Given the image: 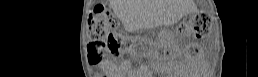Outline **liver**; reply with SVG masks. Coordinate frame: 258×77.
Segmentation results:
<instances>
[{
    "label": "liver",
    "instance_id": "liver-1",
    "mask_svg": "<svg viewBox=\"0 0 258 77\" xmlns=\"http://www.w3.org/2000/svg\"><path fill=\"white\" fill-rule=\"evenodd\" d=\"M111 5L118 16H128V19H122L127 29L132 24H157L162 17L161 11L152 0H111Z\"/></svg>",
    "mask_w": 258,
    "mask_h": 77
}]
</instances>
